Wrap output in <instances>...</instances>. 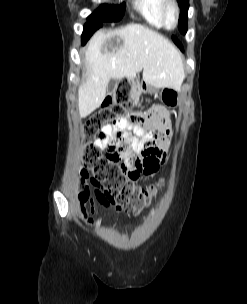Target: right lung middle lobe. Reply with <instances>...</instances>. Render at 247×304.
Returning a JSON list of instances; mask_svg holds the SVG:
<instances>
[{"label": "right lung middle lobe", "instance_id": "right-lung-middle-lobe-1", "mask_svg": "<svg viewBox=\"0 0 247 304\" xmlns=\"http://www.w3.org/2000/svg\"><path fill=\"white\" fill-rule=\"evenodd\" d=\"M125 12L124 4L121 5H103L88 18V23L84 26L82 39L88 40L91 35L99 29L103 22H116L119 21Z\"/></svg>", "mask_w": 247, "mask_h": 304}]
</instances>
